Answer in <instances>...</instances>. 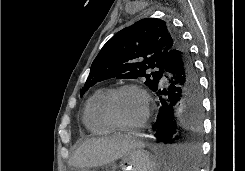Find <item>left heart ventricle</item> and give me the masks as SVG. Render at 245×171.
Wrapping results in <instances>:
<instances>
[{
  "mask_svg": "<svg viewBox=\"0 0 245 171\" xmlns=\"http://www.w3.org/2000/svg\"><path fill=\"white\" fill-rule=\"evenodd\" d=\"M113 108L117 118L122 123L135 125L144 118L146 101L139 92L126 90L116 96Z\"/></svg>",
  "mask_w": 245,
  "mask_h": 171,
  "instance_id": "obj_1",
  "label": "left heart ventricle"
}]
</instances>
